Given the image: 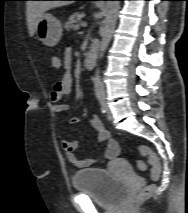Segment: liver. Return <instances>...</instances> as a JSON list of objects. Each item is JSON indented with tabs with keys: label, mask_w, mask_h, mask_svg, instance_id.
Listing matches in <instances>:
<instances>
[{
	"label": "liver",
	"mask_w": 188,
	"mask_h": 213,
	"mask_svg": "<svg viewBox=\"0 0 188 213\" xmlns=\"http://www.w3.org/2000/svg\"><path fill=\"white\" fill-rule=\"evenodd\" d=\"M69 1H28L26 7L29 35L33 36L38 20L45 11L67 5Z\"/></svg>",
	"instance_id": "obj_1"
}]
</instances>
